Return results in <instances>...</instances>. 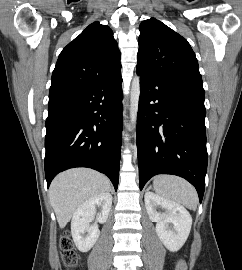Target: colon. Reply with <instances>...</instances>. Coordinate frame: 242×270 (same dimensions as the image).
Here are the masks:
<instances>
[{
	"label": "colon",
	"mask_w": 242,
	"mask_h": 270,
	"mask_svg": "<svg viewBox=\"0 0 242 270\" xmlns=\"http://www.w3.org/2000/svg\"><path fill=\"white\" fill-rule=\"evenodd\" d=\"M60 249L63 263L66 267L71 268L77 265L79 256L75 250L72 240L69 236H63L60 239Z\"/></svg>",
	"instance_id": "colon-1"
}]
</instances>
